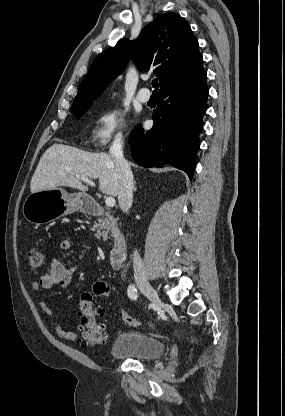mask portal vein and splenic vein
<instances>
[{
  "instance_id": "obj_1",
  "label": "portal vein and splenic vein",
  "mask_w": 285,
  "mask_h": 416,
  "mask_svg": "<svg viewBox=\"0 0 285 416\" xmlns=\"http://www.w3.org/2000/svg\"><path fill=\"white\" fill-rule=\"evenodd\" d=\"M76 178H80V180H82V182H85V184H88V186H95L94 182H92V180H88V178H85V176H80V174H78ZM105 204L106 206H110V208H113V206H115L114 198H111V196H109V198H106Z\"/></svg>"
}]
</instances>
